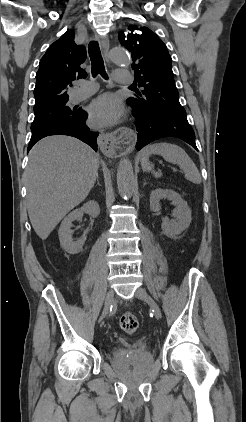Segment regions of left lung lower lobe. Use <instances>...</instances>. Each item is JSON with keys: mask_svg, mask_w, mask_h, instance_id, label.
Segmentation results:
<instances>
[{"mask_svg": "<svg viewBox=\"0 0 246 422\" xmlns=\"http://www.w3.org/2000/svg\"><path fill=\"white\" fill-rule=\"evenodd\" d=\"M132 112L138 132L137 150L163 137L182 139L198 150L194 131L188 123L186 115L146 113L134 108Z\"/></svg>", "mask_w": 246, "mask_h": 422, "instance_id": "obj_1", "label": "left lung lower lobe"}]
</instances>
